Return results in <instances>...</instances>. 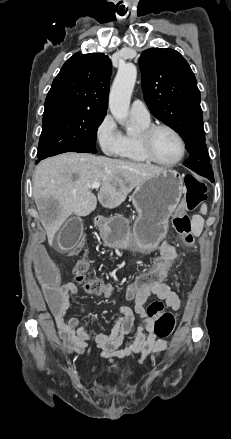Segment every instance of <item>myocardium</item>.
Wrapping results in <instances>:
<instances>
[{"mask_svg": "<svg viewBox=\"0 0 231 439\" xmlns=\"http://www.w3.org/2000/svg\"><path fill=\"white\" fill-rule=\"evenodd\" d=\"M158 130H167L171 132L179 141L180 144V155L177 159H175L172 162H162L158 160L155 155L153 154L152 147H151V139L155 132ZM137 141L139 148L144 155V157L149 161L156 165L163 166V167H174L177 164H179L185 157L186 154V143L183 138V136L172 126L167 124H153L149 125L148 127L140 130L137 135Z\"/></svg>", "mask_w": 231, "mask_h": 439, "instance_id": "f54148a6", "label": "myocardium"}]
</instances>
